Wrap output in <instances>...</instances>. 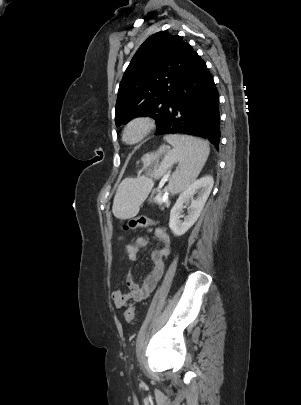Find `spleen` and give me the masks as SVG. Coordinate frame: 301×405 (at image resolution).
<instances>
[{"instance_id":"3e777b00","label":"spleen","mask_w":301,"mask_h":405,"mask_svg":"<svg viewBox=\"0 0 301 405\" xmlns=\"http://www.w3.org/2000/svg\"><path fill=\"white\" fill-rule=\"evenodd\" d=\"M173 146L151 177L126 178L119 185L114 197L112 211L116 218L128 219L136 215L139 205L153 187V179L164 176L167 170L178 163L169 180V191L177 194L192 184L201 172L210 152L208 142L184 135H169L164 138Z\"/></svg>"}]
</instances>
